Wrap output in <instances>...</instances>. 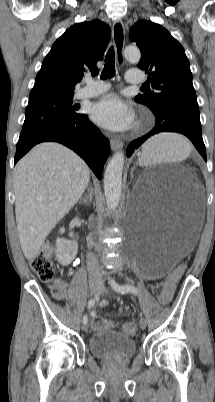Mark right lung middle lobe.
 Wrapping results in <instances>:
<instances>
[{
  "label": "right lung middle lobe",
  "instance_id": "right-lung-middle-lobe-1",
  "mask_svg": "<svg viewBox=\"0 0 215 402\" xmlns=\"http://www.w3.org/2000/svg\"><path fill=\"white\" fill-rule=\"evenodd\" d=\"M73 95H44L29 98L25 121L17 144L50 128L77 119L81 114L72 106Z\"/></svg>",
  "mask_w": 215,
  "mask_h": 402
}]
</instances>
